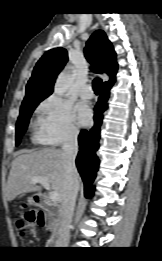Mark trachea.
<instances>
[{"instance_id": "1", "label": "trachea", "mask_w": 162, "mask_h": 261, "mask_svg": "<svg viewBox=\"0 0 162 261\" xmlns=\"http://www.w3.org/2000/svg\"><path fill=\"white\" fill-rule=\"evenodd\" d=\"M101 85H102V80L100 78H95L93 80V89L96 94L100 93Z\"/></svg>"}]
</instances>
